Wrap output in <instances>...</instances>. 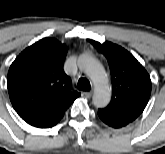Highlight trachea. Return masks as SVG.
<instances>
[{"mask_svg": "<svg viewBox=\"0 0 165 154\" xmlns=\"http://www.w3.org/2000/svg\"><path fill=\"white\" fill-rule=\"evenodd\" d=\"M77 89L81 91H89L90 82L86 78H80L77 83Z\"/></svg>", "mask_w": 165, "mask_h": 154, "instance_id": "3493384b", "label": "trachea"}]
</instances>
